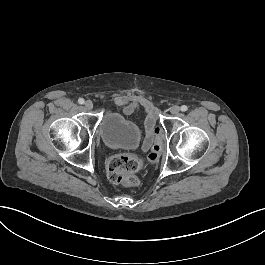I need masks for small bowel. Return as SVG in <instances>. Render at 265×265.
Returning a JSON list of instances; mask_svg holds the SVG:
<instances>
[{"label": "small bowel", "instance_id": "small-bowel-1", "mask_svg": "<svg viewBox=\"0 0 265 265\" xmlns=\"http://www.w3.org/2000/svg\"><path fill=\"white\" fill-rule=\"evenodd\" d=\"M115 104L119 107H126L129 102H131L132 107L139 108L143 104V99L134 96H128L123 94H118L114 98ZM142 109L147 112L145 118V138L142 143V150L148 151L152 145L153 138L155 135V121L158 119L157 113L158 108H153L150 106L149 102H144Z\"/></svg>", "mask_w": 265, "mask_h": 265}]
</instances>
